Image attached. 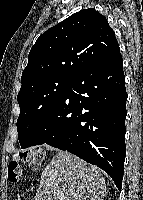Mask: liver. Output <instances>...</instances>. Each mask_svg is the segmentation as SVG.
<instances>
[{
	"label": "liver",
	"mask_w": 143,
	"mask_h": 200,
	"mask_svg": "<svg viewBox=\"0 0 143 200\" xmlns=\"http://www.w3.org/2000/svg\"><path fill=\"white\" fill-rule=\"evenodd\" d=\"M106 189L100 169L58 151L42 171L34 200H103Z\"/></svg>",
	"instance_id": "6515ba94"
}]
</instances>
